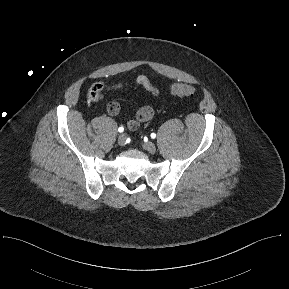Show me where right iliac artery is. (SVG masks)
I'll list each match as a JSON object with an SVG mask.
<instances>
[{
    "mask_svg": "<svg viewBox=\"0 0 289 289\" xmlns=\"http://www.w3.org/2000/svg\"><path fill=\"white\" fill-rule=\"evenodd\" d=\"M118 131L121 133V132L124 131V128H123V127H119V128H118Z\"/></svg>",
    "mask_w": 289,
    "mask_h": 289,
    "instance_id": "1",
    "label": "right iliac artery"
}]
</instances>
